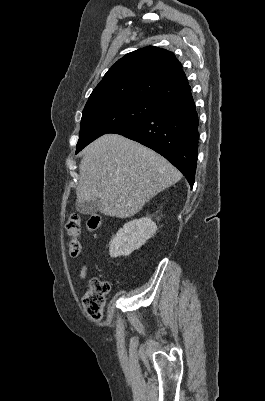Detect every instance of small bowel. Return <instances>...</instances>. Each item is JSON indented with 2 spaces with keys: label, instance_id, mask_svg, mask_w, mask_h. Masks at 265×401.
<instances>
[{
  "label": "small bowel",
  "instance_id": "obj_1",
  "mask_svg": "<svg viewBox=\"0 0 265 401\" xmlns=\"http://www.w3.org/2000/svg\"><path fill=\"white\" fill-rule=\"evenodd\" d=\"M87 272H88V264L85 262L81 266V269H80V272H79V279H80L81 282L86 279Z\"/></svg>",
  "mask_w": 265,
  "mask_h": 401
}]
</instances>
